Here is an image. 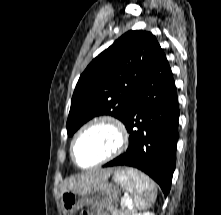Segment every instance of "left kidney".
<instances>
[{
    "mask_svg": "<svg viewBox=\"0 0 221 215\" xmlns=\"http://www.w3.org/2000/svg\"><path fill=\"white\" fill-rule=\"evenodd\" d=\"M136 215H155L152 212H143V213H136Z\"/></svg>",
    "mask_w": 221,
    "mask_h": 215,
    "instance_id": "5707ae66",
    "label": "left kidney"
}]
</instances>
